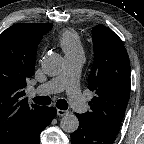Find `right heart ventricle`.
Here are the masks:
<instances>
[{
	"instance_id": "1",
	"label": "right heart ventricle",
	"mask_w": 144,
	"mask_h": 144,
	"mask_svg": "<svg viewBox=\"0 0 144 144\" xmlns=\"http://www.w3.org/2000/svg\"><path fill=\"white\" fill-rule=\"evenodd\" d=\"M59 44L63 49L65 55L83 53L80 36L73 29H66L60 33Z\"/></svg>"
}]
</instances>
